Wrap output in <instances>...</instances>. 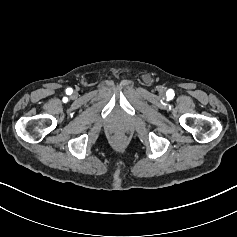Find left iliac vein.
Returning a JSON list of instances; mask_svg holds the SVG:
<instances>
[{
  "label": "left iliac vein",
  "instance_id": "4c4485c4",
  "mask_svg": "<svg viewBox=\"0 0 237 237\" xmlns=\"http://www.w3.org/2000/svg\"><path fill=\"white\" fill-rule=\"evenodd\" d=\"M160 91H161V92H164V88L162 87V88L160 89Z\"/></svg>",
  "mask_w": 237,
  "mask_h": 237
}]
</instances>
